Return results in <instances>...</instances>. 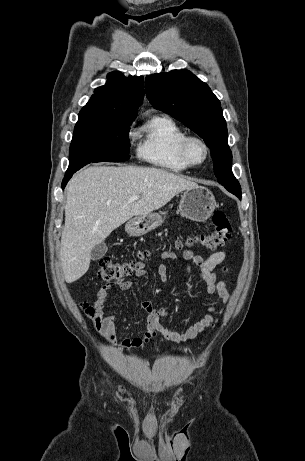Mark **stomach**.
<instances>
[{"mask_svg":"<svg viewBox=\"0 0 305 461\" xmlns=\"http://www.w3.org/2000/svg\"><path fill=\"white\" fill-rule=\"evenodd\" d=\"M215 207L213 193L203 186H196L182 193L179 212L190 220L204 222L211 216ZM162 223L163 218L159 213H149L129 220L125 225V231L129 236L138 237L156 229Z\"/></svg>","mask_w":305,"mask_h":461,"instance_id":"0dacf381","label":"stomach"}]
</instances>
